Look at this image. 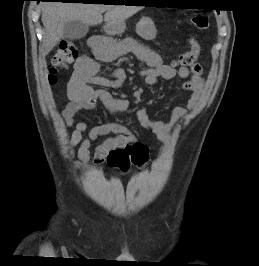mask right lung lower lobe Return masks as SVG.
I'll use <instances>...</instances> for the list:
<instances>
[{
	"mask_svg": "<svg viewBox=\"0 0 259 266\" xmlns=\"http://www.w3.org/2000/svg\"><path fill=\"white\" fill-rule=\"evenodd\" d=\"M36 1L39 3L40 1H43V0H36ZM52 1H61V2H64V1H68V0H52Z\"/></svg>",
	"mask_w": 259,
	"mask_h": 266,
	"instance_id": "1",
	"label": "right lung lower lobe"
}]
</instances>
